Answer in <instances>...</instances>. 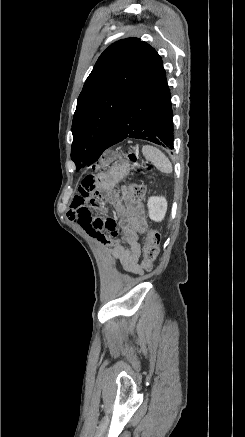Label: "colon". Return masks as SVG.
Returning <instances> with one entry per match:
<instances>
[{"label": "colon", "instance_id": "1", "mask_svg": "<svg viewBox=\"0 0 245 437\" xmlns=\"http://www.w3.org/2000/svg\"><path fill=\"white\" fill-rule=\"evenodd\" d=\"M128 157L134 164H137L138 159L136 154L130 153ZM128 192L133 202H140L145 195V188L141 184L134 183L129 185ZM159 242H160V235L158 231L155 229H150L147 233L146 242L144 246V257L142 262L143 269L151 270L153 268L154 262L159 253Z\"/></svg>", "mask_w": 245, "mask_h": 437}]
</instances>
